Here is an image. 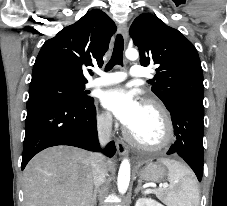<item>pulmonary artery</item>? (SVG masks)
Returning <instances> with one entry per match:
<instances>
[{"label": "pulmonary artery", "instance_id": "1", "mask_svg": "<svg viewBox=\"0 0 227 206\" xmlns=\"http://www.w3.org/2000/svg\"><path fill=\"white\" fill-rule=\"evenodd\" d=\"M127 76L133 77V78H142L147 77L148 73L142 66L134 65L131 67L130 71L128 73L126 72H110V73H102L99 77L94 78L88 83V87H102L107 85H112L116 83H120L124 81Z\"/></svg>", "mask_w": 227, "mask_h": 206}]
</instances>
